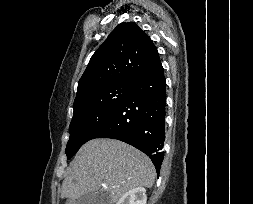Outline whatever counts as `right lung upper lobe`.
I'll return each mask as SVG.
<instances>
[{"mask_svg":"<svg viewBox=\"0 0 253 204\" xmlns=\"http://www.w3.org/2000/svg\"><path fill=\"white\" fill-rule=\"evenodd\" d=\"M157 57V48L141 28L134 22L119 24L91 57L75 101L113 84L133 83Z\"/></svg>","mask_w":253,"mask_h":204,"instance_id":"right-lung-upper-lobe-1","label":"right lung upper lobe"}]
</instances>
